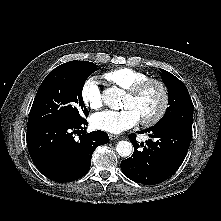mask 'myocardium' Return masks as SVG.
Instances as JSON below:
<instances>
[{
    "label": "myocardium",
    "instance_id": "obj_1",
    "mask_svg": "<svg viewBox=\"0 0 221 221\" xmlns=\"http://www.w3.org/2000/svg\"><path fill=\"white\" fill-rule=\"evenodd\" d=\"M152 84L157 85L159 87L161 94H162V100H161V104H160L158 111L153 116L149 118L140 119L141 124L144 126H151V125L156 124L166 114L168 106H169V100H170L168 87L164 81L158 78L148 77L136 83L130 89L126 90L128 96L135 98L139 96L149 85H152Z\"/></svg>",
    "mask_w": 221,
    "mask_h": 221
}]
</instances>
